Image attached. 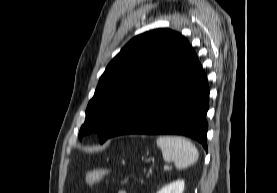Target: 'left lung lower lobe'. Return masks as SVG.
Returning <instances> with one entry per match:
<instances>
[{"mask_svg":"<svg viewBox=\"0 0 277 193\" xmlns=\"http://www.w3.org/2000/svg\"><path fill=\"white\" fill-rule=\"evenodd\" d=\"M209 86L195 52L167 80L140 100L108 138L125 134H175L207 150Z\"/></svg>","mask_w":277,"mask_h":193,"instance_id":"1","label":"left lung lower lobe"}]
</instances>
